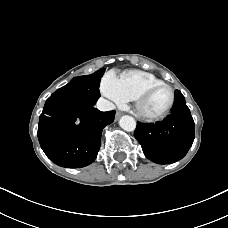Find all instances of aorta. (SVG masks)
<instances>
[{
  "label": "aorta",
  "instance_id": "762f6f07",
  "mask_svg": "<svg viewBox=\"0 0 228 228\" xmlns=\"http://www.w3.org/2000/svg\"><path fill=\"white\" fill-rule=\"evenodd\" d=\"M119 125L123 130L131 132L136 128V121L132 116L124 115L120 118Z\"/></svg>",
  "mask_w": 228,
  "mask_h": 228
}]
</instances>
